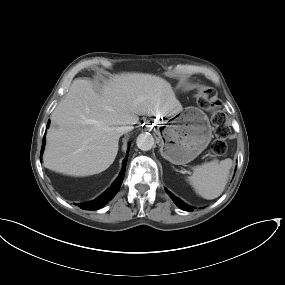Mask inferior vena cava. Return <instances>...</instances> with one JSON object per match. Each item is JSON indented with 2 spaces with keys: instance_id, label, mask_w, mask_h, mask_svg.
<instances>
[{
  "instance_id": "1",
  "label": "inferior vena cava",
  "mask_w": 285,
  "mask_h": 285,
  "mask_svg": "<svg viewBox=\"0 0 285 285\" xmlns=\"http://www.w3.org/2000/svg\"><path fill=\"white\" fill-rule=\"evenodd\" d=\"M132 129H133V127L131 125L126 124V125H122V126L117 127L116 130L120 135H122V134L128 133Z\"/></svg>"
}]
</instances>
